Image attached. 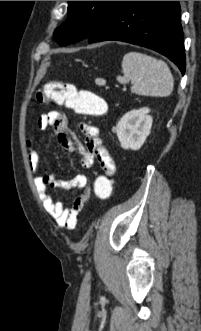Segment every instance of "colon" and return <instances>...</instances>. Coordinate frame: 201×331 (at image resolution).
<instances>
[{
    "mask_svg": "<svg viewBox=\"0 0 201 331\" xmlns=\"http://www.w3.org/2000/svg\"><path fill=\"white\" fill-rule=\"evenodd\" d=\"M37 97L40 102L63 105L86 116H100L106 112V103L101 97L60 81L46 83L38 92ZM112 189L113 184L110 177L103 173L96 177L93 188V195L96 199L101 201L109 199Z\"/></svg>",
    "mask_w": 201,
    "mask_h": 331,
    "instance_id": "colon-1",
    "label": "colon"
}]
</instances>
